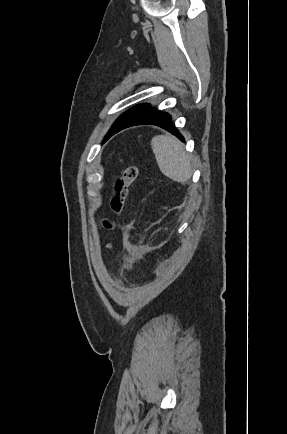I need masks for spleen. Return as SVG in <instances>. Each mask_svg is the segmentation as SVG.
Returning <instances> with one entry per match:
<instances>
[{
	"instance_id": "3e777b00",
	"label": "spleen",
	"mask_w": 287,
	"mask_h": 434,
	"mask_svg": "<svg viewBox=\"0 0 287 434\" xmlns=\"http://www.w3.org/2000/svg\"><path fill=\"white\" fill-rule=\"evenodd\" d=\"M151 147L160 171L176 182L184 183L192 176V165L183 144L170 135H157Z\"/></svg>"
}]
</instances>
